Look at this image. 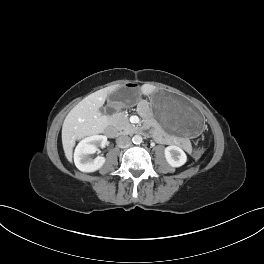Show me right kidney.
Masks as SVG:
<instances>
[{"instance_id":"right-kidney-1","label":"right kidney","mask_w":264,"mask_h":264,"mask_svg":"<svg viewBox=\"0 0 264 264\" xmlns=\"http://www.w3.org/2000/svg\"><path fill=\"white\" fill-rule=\"evenodd\" d=\"M106 143L107 137L103 135H93L81 140L74 152L75 166L87 173L99 170L106 161L105 157L98 156L92 159L90 154L95 153L98 146H104Z\"/></svg>"}]
</instances>
